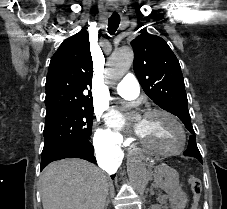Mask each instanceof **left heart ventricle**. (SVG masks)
Segmentation results:
<instances>
[{
	"instance_id": "1",
	"label": "left heart ventricle",
	"mask_w": 227,
	"mask_h": 209,
	"mask_svg": "<svg viewBox=\"0 0 227 209\" xmlns=\"http://www.w3.org/2000/svg\"><path fill=\"white\" fill-rule=\"evenodd\" d=\"M136 134L161 150H170L180 144L178 128L166 116L159 113L143 117L136 125Z\"/></svg>"
}]
</instances>
